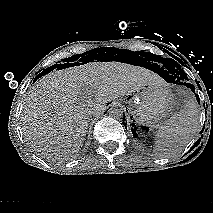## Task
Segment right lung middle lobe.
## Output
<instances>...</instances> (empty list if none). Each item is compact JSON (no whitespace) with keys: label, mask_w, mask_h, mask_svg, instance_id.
<instances>
[{"label":"right lung middle lobe","mask_w":213,"mask_h":213,"mask_svg":"<svg viewBox=\"0 0 213 213\" xmlns=\"http://www.w3.org/2000/svg\"><path fill=\"white\" fill-rule=\"evenodd\" d=\"M96 51H97V50H96ZM96 51L94 52V54L96 53ZM90 52H93V50L89 51V55H87V57H91L92 55H94V54H90ZM85 54H88V52H87V53H84V54L72 56V57H70V58L65 59L64 61H65V62H68V61H69V62H73V61L77 60L80 56H83V55H85Z\"/></svg>","instance_id":"1"}]
</instances>
